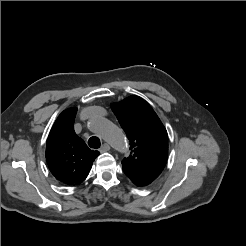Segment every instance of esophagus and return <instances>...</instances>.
<instances>
[{"instance_id": "34e87169", "label": "esophagus", "mask_w": 246, "mask_h": 246, "mask_svg": "<svg viewBox=\"0 0 246 246\" xmlns=\"http://www.w3.org/2000/svg\"><path fill=\"white\" fill-rule=\"evenodd\" d=\"M109 150H110V146L107 143H104L100 148V152H107Z\"/></svg>"}]
</instances>
